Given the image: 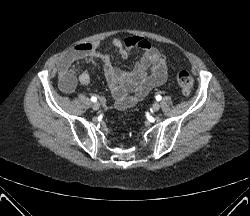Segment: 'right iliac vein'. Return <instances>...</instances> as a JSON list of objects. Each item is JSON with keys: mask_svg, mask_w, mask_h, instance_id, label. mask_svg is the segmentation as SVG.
Wrapping results in <instances>:
<instances>
[{"mask_svg": "<svg viewBox=\"0 0 250 216\" xmlns=\"http://www.w3.org/2000/svg\"><path fill=\"white\" fill-rule=\"evenodd\" d=\"M92 108L94 110H98L100 108V104L98 102H94L93 105H92Z\"/></svg>", "mask_w": 250, "mask_h": 216, "instance_id": "1", "label": "right iliac vein"}]
</instances>
